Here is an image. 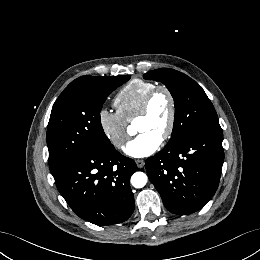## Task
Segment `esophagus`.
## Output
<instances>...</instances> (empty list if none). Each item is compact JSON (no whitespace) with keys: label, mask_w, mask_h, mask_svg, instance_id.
Instances as JSON below:
<instances>
[{"label":"esophagus","mask_w":260,"mask_h":260,"mask_svg":"<svg viewBox=\"0 0 260 260\" xmlns=\"http://www.w3.org/2000/svg\"><path fill=\"white\" fill-rule=\"evenodd\" d=\"M135 162L138 168H142L145 165V162L142 159H137Z\"/></svg>","instance_id":"1"}]
</instances>
